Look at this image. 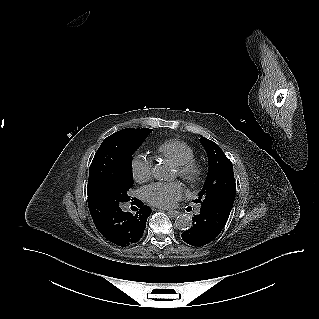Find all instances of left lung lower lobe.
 I'll list each match as a JSON object with an SVG mask.
<instances>
[{"label":"left lung lower lobe","instance_id":"left-lung-lower-lobe-1","mask_svg":"<svg viewBox=\"0 0 319 319\" xmlns=\"http://www.w3.org/2000/svg\"><path fill=\"white\" fill-rule=\"evenodd\" d=\"M235 197H223L201 203L200 213L192 218L193 226L182 233V239L192 246L213 241L224 228Z\"/></svg>","mask_w":319,"mask_h":319}]
</instances>
